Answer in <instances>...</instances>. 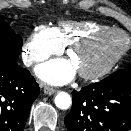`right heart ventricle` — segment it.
Masks as SVG:
<instances>
[{
  "mask_svg": "<svg viewBox=\"0 0 131 131\" xmlns=\"http://www.w3.org/2000/svg\"><path fill=\"white\" fill-rule=\"evenodd\" d=\"M111 28L96 21H60L52 28L54 36L62 46H67L93 32Z\"/></svg>",
  "mask_w": 131,
  "mask_h": 131,
  "instance_id": "1",
  "label": "right heart ventricle"
}]
</instances>
